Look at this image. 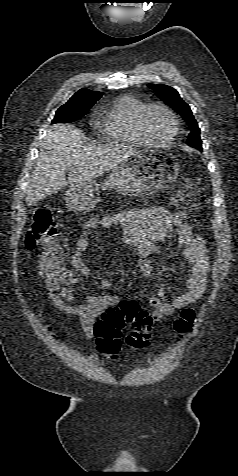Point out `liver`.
<instances>
[{
  "label": "liver",
  "instance_id": "1",
  "mask_svg": "<svg viewBox=\"0 0 238 476\" xmlns=\"http://www.w3.org/2000/svg\"><path fill=\"white\" fill-rule=\"evenodd\" d=\"M135 153L137 150L130 146H97L87 141L74 125H52L41 144L26 204L35 205L68 184L74 186L91 181ZM66 170H69L67 180Z\"/></svg>",
  "mask_w": 238,
  "mask_h": 476
}]
</instances>
